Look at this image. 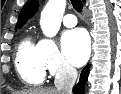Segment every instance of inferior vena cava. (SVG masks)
I'll return each instance as SVG.
<instances>
[{"mask_svg":"<svg viewBox=\"0 0 121 94\" xmlns=\"http://www.w3.org/2000/svg\"><path fill=\"white\" fill-rule=\"evenodd\" d=\"M77 76V70L70 65H65L64 67L59 68L54 81L58 93L72 94V89L77 79Z\"/></svg>","mask_w":121,"mask_h":94,"instance_id":"602c4592","label":"inferior vena cava"}]
</instances>
